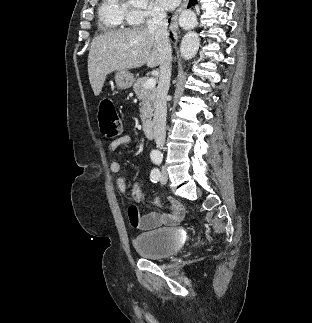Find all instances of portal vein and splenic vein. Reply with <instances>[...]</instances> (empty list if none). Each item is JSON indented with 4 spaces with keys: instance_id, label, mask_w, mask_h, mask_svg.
I'll use <instances>...</instances> for the list:
<instances>
[{
    "instance_id": "1",
    "label": "portal vein and splenic vein",
    "mask_w": 312,
    "mask_h": 323,
    "mask_svg": "<svg viewBox=\"0 0 312 323\" xmlns=\"http://www.w3.org/2000/svg\"><path fill=\"white\" fill-rule=\"evenodd\" d=\"M156 86V80L155 78H149L147 82L144 84V90H147V88H155Z\"/></svg>"
}]
</instances>
